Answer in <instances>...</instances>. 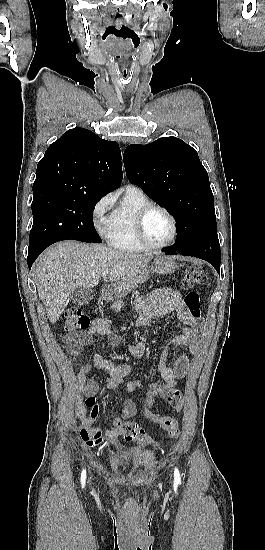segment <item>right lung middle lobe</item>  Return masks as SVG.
Instances as JSON below:
<instances>
[{
    "label": "right lung middle lobe",
    "mask_w": 265,
    "mask_h": 550,
    "mask_svg": "<svg viewBox=\"0 0 265 550\" xmlns=\"http://www.w3.org/2000/svg\"><path fill=\"white\" fill-rule=\"evenodd\" d=\"M102 197H70L50 193L34 195L31 205L34 222L28 254L44 250L61 240L101 243L92 216L96 203Z\"/></svg>",
    "instance_id": "1"
}]
</instances>
